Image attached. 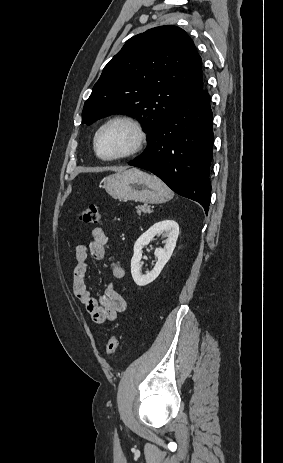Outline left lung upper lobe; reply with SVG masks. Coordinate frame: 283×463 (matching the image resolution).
<instances>
[{
	"label": "left lung upper lobe",
	"instance_id": "left-lung-upper-lobe-1",
	"mask_svg": "<svg viewBox=\"0 0 283 463\" xmlns=\"http://www.w3.org/2000/svg\"><path fill=\"white\" fill-rule=\"evenodd\" d=\"M201 65L193 41L181 28L166 25L138 34L104 67L84 104L82 123L124 113L140 120L149 139L202 88Z\"/></svg>",
	"mask_w": 283,
	"mask_h": 463
}]
</instances>
